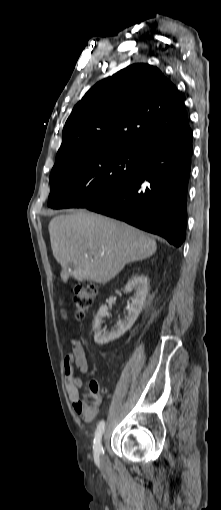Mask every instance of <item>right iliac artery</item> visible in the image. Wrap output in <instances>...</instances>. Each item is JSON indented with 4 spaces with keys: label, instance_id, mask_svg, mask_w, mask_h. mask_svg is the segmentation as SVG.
<instances>
[{
    "label": "right iliac artery",
    "instance_id": "82829eb1",
    "mask_svg": "<svg viewBox=\"0 0 221 510\" xmlns=\"http://www.w3.org/2000/svg\"><path fill=\"white\" fill-rule=\"evenodd\" d=\"M105 430V422L104 420L100 421L96 432H95V438H94V456L98 458V456L102 453H104L102 444H101V438Z\"/></svg>",
    "mask_w": 221,
    "mask_h": 510
}]
</instances>
